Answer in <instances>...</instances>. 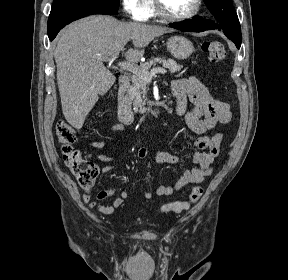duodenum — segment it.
Segmentation results:
<instances>
[{
  "label": "duodenum",
  "mask_w": 288,
  "mask_h": 280,
  "mask_svg": "<svg viewBox=\"0 0 288 280\" xmlns=\"http://www.w3.org/2000/svg\"><path fill=\"white\" fill-rule=\"evenodd\" d=\"M130 92V80L127 75H122L119 79V91H118V106H119V118L124 125H130L134 122V114L131 109V102L129 97ZM162 112L161 108L153 109L150 114L144 117V120L152 119L159 116Z\"/></svg>",
  "instance_id": "1"
}]
</instances>
